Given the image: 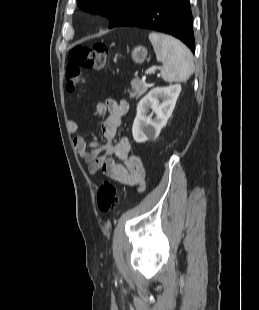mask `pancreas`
<instances>
[{"instance_id":"cf45deb5","label":"pancreas","mask_w":259,"mask_h":310,"mask_svg":"<svg viewBox=\"0 0 259 310\" xmlns=\"http://www.w3.org/2000/svg\"><path fill=\"white\" fill-rule=\"evenodd\" d=\"M131 86L132 89L131 91L129 90V97L130 99H138L141 97L146 91H147V86L144 81L141 79H133L131 81Z\"/></svg>"}]
</instances>
